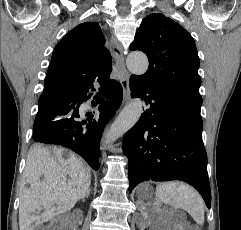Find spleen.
I'll return each mask as SVG.
<instances>
[{
    "label": "spleen",
    "mask_w": 241,
    "mask_h": 230,
    "mask_svg": "<svg viewBox=\"0 0 241 230\" xmlns=\"http://www.w3.org/2000/svg\"><path fill=\"white\" fill-rule=\"evenodd\" d=\"M155 194L160 201L186 210L199 225L204 223V203L192 187L180 182H166L157 186Z\"/></svg>",
    "instance_id": "3e777b00"
}]
</instances>
